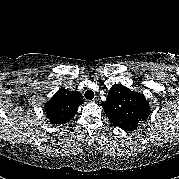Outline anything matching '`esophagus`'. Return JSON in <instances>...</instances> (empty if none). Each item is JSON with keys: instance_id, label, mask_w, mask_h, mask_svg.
<instances>
[{"instance_id": "1", "label": "esophagus", "mask_w": 179, "mask_h": 179, "mask_svg": "<svg viewBox=\"0 0 179 179\" xmlns=\"http://www.w3.org/2000/svg\"><path fill=\"white\" fill-rule=\"evenodd\" d=\"M100 100L99 96H95V98L93 99V102H98Z\"/></svg>"}]
</instances>
